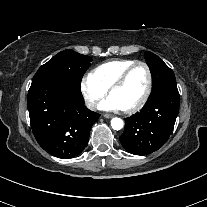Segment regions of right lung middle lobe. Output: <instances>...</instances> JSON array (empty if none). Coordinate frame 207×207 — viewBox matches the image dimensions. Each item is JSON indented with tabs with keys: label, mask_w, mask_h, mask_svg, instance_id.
<instances>
[{
	"label": "right lung middle lobe",
	"mask_w": 207,
	"mask_h": 207,
	"mask_svg": "<svg viewBox=\"0 0 207 207\" xmlns=\"http://www.w3.org/2000/svg\"><path fill=\"white\" fill-rule=\"evenodd\" d=\"M91 58L67 49L61 51L42 65L35 76L32 84L53 81L66 84L80 91L82 76L89 68Z\"/></svg>",
	"instance_id": "1"
}]
</instances>
